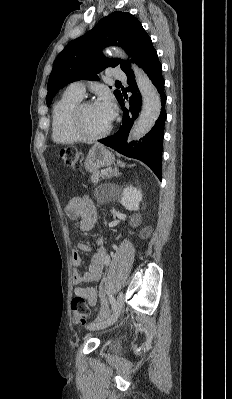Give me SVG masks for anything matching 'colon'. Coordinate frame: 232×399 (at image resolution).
<instances>
[{"mask_svg":"<svg viewBox=\"0 0 232 399\" xmlns=\"http://www.w3.org/2000/svg\"><path fill=\"white\" fill-rule=\"evenodd\" d=\"M79 160H82V155H79V147L68 146L65 150L64 163L66 166L77 168ZM72 301H85V296H72ZM86 317H91V309H86L85 303H72L71 308V325H76V320H81V328H86Z\"/></svg>","mask_w":232,"mask_h":399,"instance_id":"colon-1","label":"colon"}]
</instances>
